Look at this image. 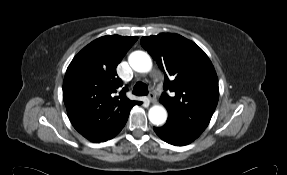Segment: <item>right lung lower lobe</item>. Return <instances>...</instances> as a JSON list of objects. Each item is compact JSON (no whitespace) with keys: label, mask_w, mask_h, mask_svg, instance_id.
<instances>
[{"label":"right lung lower lobe","mask_w":287,"mask_h":175,"mask_svg":"<svg viewBox=\"0 0 287 175\" xmlns=\"http://www.w3.org/2000/svg\"><path fill=\"white\" fill-rule=\"evenodd\" d=\"M126 123V122H125ZM125 123H124V125H125ZM124 125H122V127L114 134V136H116L121 130H122V128L124 127ZM114 136H112L111 138H113ZM110 138V139H111Z\"/></svg>","instance_id":"98d812e1"}]
</instances>
